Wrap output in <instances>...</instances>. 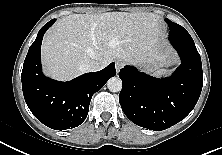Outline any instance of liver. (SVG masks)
<instances>
[{"instance_id": "liver-1", "label": "liver", "mask_w": 222, "mask_h": 155, "mask_svg": "<svg viewBox=\"0 0 222 155\" xmlns=\"http://www.w3.org/2000/svg\"><path fill=\"white\" fill-rule=\"evenodd\" d=\"M161 37L159 18L152 13L72 14L57 21L44 37V71L64 81L86 72L91 61L103 68L115 58L149 61L157 55Z\"/></svg>"}]
</instances>
